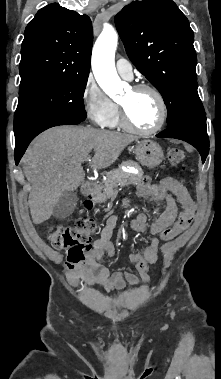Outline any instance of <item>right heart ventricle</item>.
Here are the masks:
<instances>
[{
    "instance_id": "obj_1",
    "label": "right heart ventricle",
    "mask_w": 221,
    "mask_h": 379,
    "mask_svg": "<svg viewBox=\"0 0 221 379\" xmlns=\"http://www.w3.org/2000/svg\"><path fill=\"white\" fill-rule=\"evenodd\" d=\"M118 124H120V118H119V110H118V107H117V110H116L115 114L113 115V117L111 118V120L108 122L107 125L110 126V127H115Z\"/></svg>"
}]
</instances>
